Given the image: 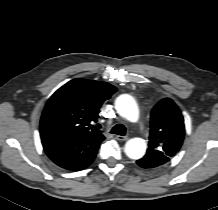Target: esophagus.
Listing matches in <instances>:
<instances>
[{
  "label": "esophagus",
  "mask_w": 218,
  "mask_h": 210,
  "mask_svg": "<svg viewBox=\"0 0 218 210\" xmlns=\"http://www.w3.org/2000/svg\"><path fill=\"white\" fill-rule=\"evenodd\" d=\"M116 139L120 140V141H127L129 139V137L128 136L116 135Z\"/></svg>",
  "instance_id": "1"
}]
</instances>
